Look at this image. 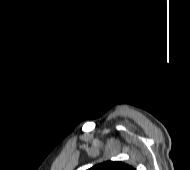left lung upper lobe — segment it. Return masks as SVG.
<instances>
[{
  "mask_svg": "<svg viewBox=\"0 0 190 170\" xmlns=\"http://www.w3.org/2000/svg\"><path fill=\"white\" fill-rule=\"evenodd\" d=\"M88 170H135V168L119 161H106L97 164Z\"/></svg>",
  "mask_w": 190,
  "mask_h": 170,
  "instance_id": "obj_1",
  "label": "left lung upper lobe"
}]
</instances>
